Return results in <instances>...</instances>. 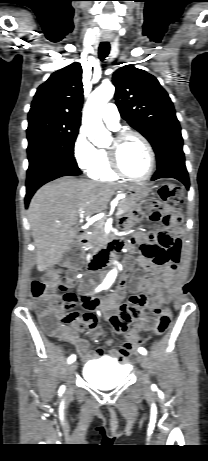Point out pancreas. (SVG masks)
<instances>
[{"instance_id":"pancreas-1","label":"pancreas","mask_w":208,"mask_h":461,"mask_svg":"<svg viewBox=\"0 0 208 461\" xmlns=\"http://www.w3.org/2000/svg\"><path fill=\"white\" fill-rule=\"evenodd\" d=\"M136 207V202L135 200L131 198H125L120 201L118 205V209H122L124 213H129L134 210ZM103 225H104V219L101 220L97 225H95V229L90 237V242L87 244V247L89 248H97L98 246H101L105 244L108 239L104 233L103 230Z\"/></svg>"}]
</instances>
